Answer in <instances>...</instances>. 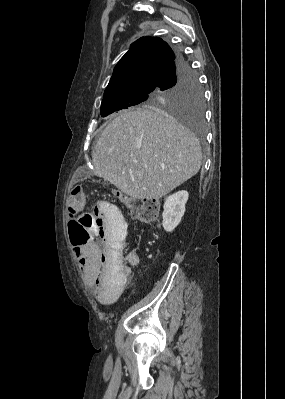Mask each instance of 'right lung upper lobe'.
Wrapping results in <instances>:
<instances>
[{
	"instance_id": "right-lung-upper-lobe-1",
	"label": "right lung upper lobe",
	"mask_w": 285,
	"mask_h": 399,
	"mask_svg": "<svg viewBox=\"0 0 285 399\" xmlns=\"http://www.w3.org/2000/svg\"><path fill=\"white\" fill-rule=\"evenodd\" d=\"M176 56L158 37H142L114 68L104 96L139 89H156L166 69Z\"/></svg>"
}]
</instances>
